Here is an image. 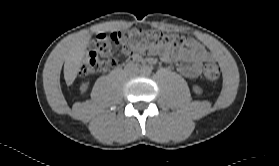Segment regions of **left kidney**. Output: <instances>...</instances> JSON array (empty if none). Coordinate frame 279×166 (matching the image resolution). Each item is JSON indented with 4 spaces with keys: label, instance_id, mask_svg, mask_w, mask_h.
<instances>
[{
    "label": "left kidney",
    "instance_id": "obj_1",
    "mask_svg": "<svg viewBox=\"0 0 279 166\" xmlns=\"http://www.w3.org/2000/svg\"><path fill=\"white\" fill-rule=\"evenodd\" d=\"M193 91L198 95L202 94V92H203L202 88L198 85L193 86Z\"/></svg>",
    "mask_w": 279,
    "mask_h": 166
}]
</instances>
